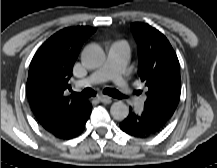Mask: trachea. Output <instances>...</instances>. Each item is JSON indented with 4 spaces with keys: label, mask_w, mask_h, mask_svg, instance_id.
I'll use <instances>...</instances> for the list:
<instances>
[{
    "label": "trachea",
    "mask_w": 217,
    "mask_h": 168,
    "mask_svg": "<svg viewBox=\"0 0 217 168\" xmlns=\"http://www.w3.org/2000/svg\"><path fill=\"white\" fill-rule=\"evenodd\" d=\"M103 93L106 94V95L112 96L114 98H118V99L124 98V96L118 90L111 89V88H105L103 90ZM73 94L77 95V96H80V97L87 98V97L95 96L96 92L91 88H86L81 93H73Z\"/></svg>",
    "instance_id": "obj_1"
}]
</instances>
